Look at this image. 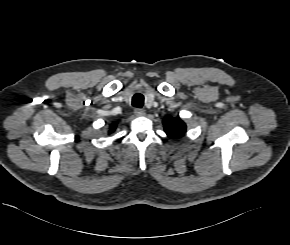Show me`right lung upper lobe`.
Here are the masks:
<instances>
[{
    "label": "right lung upper lobe",
    "instance_id": "right-lung-upper-lobe-1",
    "mask_svg": "<svg viewBox=\"0 0 290 245\" xmlns=\"http://www.w3.org/2000/svg\"><path fill=\"white\" fill-rule=\"evenodd\" d=\"M116 125H117L116 122L110 125V132H113L116 129Z\"/></svg>",
    "mask_w": 290,
    "mask_h": 245
}]
</instances>
